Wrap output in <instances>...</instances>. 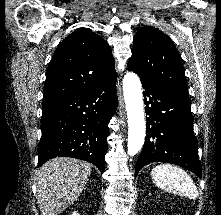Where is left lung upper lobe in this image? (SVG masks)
<instances>
[{"mask_svg": "<svg viewBox=\"0 0 221 215\" xmlns=\"http://www.w3.org/2000/svg\"><path fill=\"white\" fill-rule=\"evenodd\" d=\"M128 70L164 91L189 98L182 59L172 40L154 27L137 31Z\"/></svg>", "mask_w": 221, "mask_h": 215, "instance_id": "left-lung-upper-lobe-1", "label": "left lung upper lobe"}]
</instances>
